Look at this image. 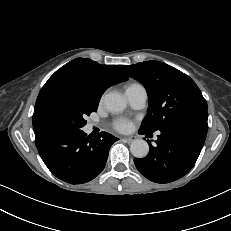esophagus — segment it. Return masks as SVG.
Masks as SVG:
<instances>
[{
	"instance_id": "obj_1",
	"label": "esophagus",
	"mask_w": 231,
	"mask_h": 231,
	"mask_svg": "<svg viewBox=\"0 0 231 231\" xmlns=\"http://www.w3.org/2000/svg\"><path fill=\"white\" fill-rule=\"evenodd\" d=\"M136 138H137L136 136H129V137L124 138L123 140H125L128 143H131L134 140H136Z\"/></svg>"
}]
</instances>
